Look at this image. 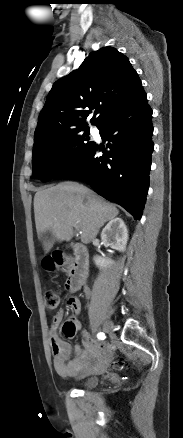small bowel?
<instances>
[{"label": "small bowel", "instance_id": "1", "mask_svg": "<svg viewBox=\"0 0 183 438\" xmlns=\"http://www.w3.org/2000/svg\"><path fill=\"white\" fill-rule=\"evenodd\" d=\"M71 311L77 315L81 310V303L78 299L69 301ZM63 320V312H58L52 319L50 330L51 350L53 354V366L56 373L62 378H82L86 375H100L107 371L109 362V349L106 345L83 335V348L74 347V356L70 358L72 348L68 342L58 335V328ZM75 325L76 331L80 330L81 324L76 317L68 319ZM96 358L95 365L90 366V359ZM84 371H87L84 373Z\"/></svg>", "mask_w": 183, "mask_h": 438}]
</instances>
